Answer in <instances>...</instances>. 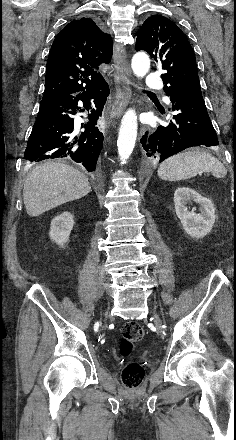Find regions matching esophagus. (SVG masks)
<instances>
[{"label": "esophagus", "mask_w": 236, "mask_h": 440, "mask_svg": "<svg viewBox=\"0 0 236 440\" xmlns=\"http://www.w3.org/2000/svg\"><path fill=\"white\" fill-rule=\"evenodd\" d=\"M114 68L116 94L111 110V117H119L123 113L131 96V84L129 82V68L126 59V49L118 44L114 51Z\"/></svg>", "instance_id": "34e87169"}]
</instances>
